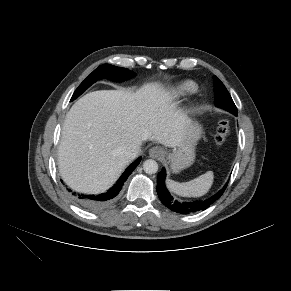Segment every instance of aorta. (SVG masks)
<instances>
[{
    "label": "aorta",
    "mask_w": 291,
    "mask_h": 291,
    "mask_svg": "<svg viewBox=\"0 0 291 291\" xmlns=\"http://www.w3.org/2000/svg\"><path fill=\"white\" fill-rule=\"evenodd\" d=\"M143 170L147 174H155L158 171V164L153 159H148L143 163Z\"/></svg>",
    "instance_id": "obj_1"
}]
</instances>
